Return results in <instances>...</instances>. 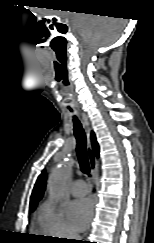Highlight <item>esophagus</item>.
<instances>
[{"mask_svg": "<svg viewBox=\"0 0 154 243\" xmlns=\"http://www.w3.org/2000/svg\"><path fill=\"white\" fill-rule=\"evenodd\" d=\"M86 133H87V140H88L87 154H88V159H89V165H90V169H91V173H92V179H93V181H95V177L98 173V161L94 155L92 145H91L90 128H87ZM94 208H95V205L93 204V215H94Z\"/></svg>", "mask_w": 154, "mask_h": 243, "instance_id": "esophagus-1", "label": "esophagus"}]
</instances>
